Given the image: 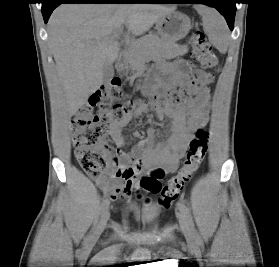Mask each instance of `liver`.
Segmentation results:
<instances>
[{"mask_svg": "<svg viewBox=\"0 0 279 267\" xmlns=\"http://www.w3.org/2000/svg\"><path fill=\"white\" fill-rule=\"evenodd\" d=\"M175 6L153 4H63L48 22L49 45L61 78L69 116L103 83V67L119 56L111 36L127 26L140 36Z\"/></svg>", "mask_w": 279, "mask_h": 267, "instance_id": "liver-1", "label": "liver"}]
</instances>
